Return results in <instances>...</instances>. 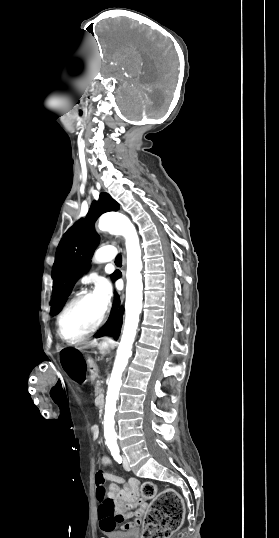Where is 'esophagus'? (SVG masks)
Returning <instances> with one entry per match:
<instances>
[{"instance_id":"34e87169","label":"esophagus","mask_w":279,"mask_h":538,"mask_svg":"<svg viewBox=\"0 0 279 538\" xmlns=\"http://www.w3.org/2000/svg\"><path fill=\"white\" fill-rule=\"evenodd\" d=\"M125 263H126V259H125V253H124V256H123V266H125ZM125 275V272L123 271V277ZM122 297H123V294H122ZM108 338V337H106Z\"/></svg>"}]
</instances>
